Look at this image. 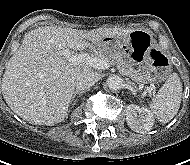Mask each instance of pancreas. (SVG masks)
I'll return each mask as SVG.
<instances>
[{
  "label": "pancreas",
  "instance_id": "obj_1",
  "mask_svg": "<svg viewBox=\"0 0 190 165\" xmlns=\"http://www.w3.org/2000/svg\"><path fill=\"white\" fill-rule=\"evenodd\" d=\"M95 57L101 60H105L111 65H116L121 73L128 75L137 84L143 85L146 83L143 75L135 70L132 66H130L126 61H124L119 54L114 53L110 55H102L96 53Z\"/></svg>",
  "mask_w": 190,
  "mask_h": 165
}]
</instances>
